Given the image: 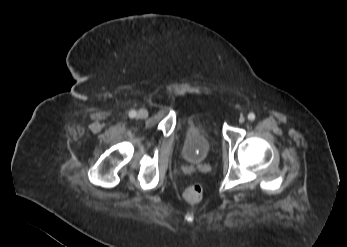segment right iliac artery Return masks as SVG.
Instances as JSON below:
<instances>
[{
	"mask_svg": "<svg viewBox=\"0 0 347 247\" xmlns=\"http://www.w3.org/2000/svg\"><path fill=\"white\" fill-rule=\"evenodd\" d=\"M136 116V111L135 110H130L129 112V117L134 118Z\"/></svg>",
	"mask_w": 347,
	"mask_h": 247,
	"instance_id": "right-iliac-artery-1",
	"label": "right iliac artery"
}]
</instances>
